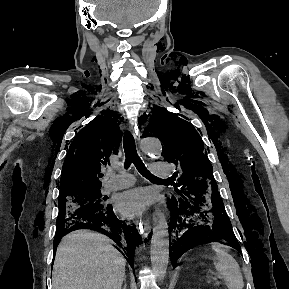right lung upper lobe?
Listing matches in <instances>:
<instances>
[{
	"label": "right lung upper lobe",
	"instance_id": "obj_1",
	"mask_svg": "<svg viewBox=\"0 0 289 289\" xmlns=\"http://www.w3.org/2000/svg\"><path fill=\"white\" fill-rule=\"evenodd\" d=\"M118 122L115 113L107 110L78 132L63 164L60 196L100 189V170L109 164V156L117 153L120 144L122 132Z\"/></svg>",
	"mask_w": 289,
	"mask_h": 289
}]
</instances>
